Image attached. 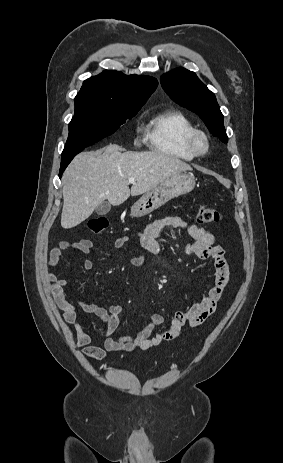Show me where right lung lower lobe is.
I'll use <instances>...</instances> for the list:
<instances>
[{"instance_id": "98d812e1", "label": "right lung lower lobe", "mask_w": 283, "mask_h": 463, "mask_svg": "<svg viewBox=\"0 0 283 463\" xmlns=\"http://www.w3.org/2000/svg\"><path fill=\"white\" fill-rule=\"evenodd\" d=\"M83 149L73 151L70 153L62 154L61 156V166H60V172H59V177L61 178V175L63 171L66 169L68 164L71 162V160L77 155L79 152H81Z\"/></svg>"}]
</instances>
